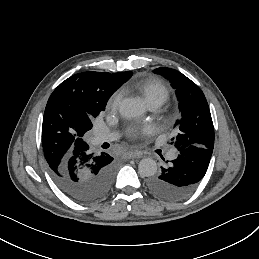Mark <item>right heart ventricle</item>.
I'll use <instances>...</instances> for the list:
<instances>
[{
    "instance_id": "right-heart-ventricle-1",
    "label": "right heart ventricle",
    "mask_w": 259,
    "mask_h": 259,
    "mask_svg": "<svg viewBox=\"0 0 259 259\" xmlns=\"http://www.w3.org/2000/svg\"><path fill=\"white\" fill-rule=\"evenodd\" d=\"M129 89L141 93L148 105L156 103L160 106L165 103L170 96L169 89L162 82L156 80L146 84L143 79H138L121 87V91H127Z\"/></svg>"
}]
</instances>
